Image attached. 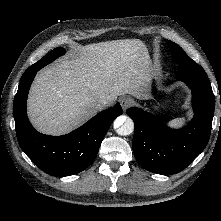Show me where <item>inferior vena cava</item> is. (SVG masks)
Here are the masks:
<instances>
[{"mask_svg": "<svg viewBox=\"0 0 221 221\" xmlns=\"http://www.w3.org/2000/svg\"><path fill=\"white\" fill-rule=\"evenodd\" d=\"M110 104V100L108 99V98H106V97H101V98H99L98 100H97V102H96V107L98 108V109H101V108H103V107H105V106H107V105H109Z\"/></svg>", "mask_w": 221, "mask_h": 221, "instance_id": "obj_1", "label": "inferior vena cava"}]
</instances>
